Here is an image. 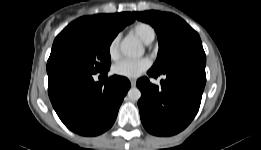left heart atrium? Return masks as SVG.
Here are the masks:
<instances>
[{
  "instance_id": "39dd6f15",
  "label": "left heart atrium",
  "mask_w": 261,
  "mask_h": 150,
  "mask_svg": "<svg viewBox=\"0 0 261 150\" xmlns=\"http://www.w3.org/2000/svg\"><path fill=\"white\" fill-rule=\"evenodd\" d=\"M151 62L147 58L138 60L124 59L116 63L113 67V72L116 75L135 79L149 69Z\"/></svg>"
}]
</instances>
